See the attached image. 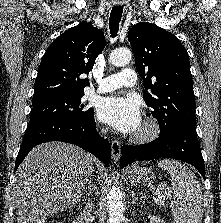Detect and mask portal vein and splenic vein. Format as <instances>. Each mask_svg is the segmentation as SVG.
<instances>
[{
  "instance_id": "obj_1",
  "label": "portal vein and splenic vein",
  "mask_w": 221,
  "mask_h": 223,
  "mask_svg": "<svg viewBox=\"0 0 221 223\" xmlns=\"http://www.w3.org/2000/svg\"><path fill=\"white\" fill-rule=\"evenodd\" d=\"M163 190L162 188H157L156 190H154L155 193H160V191ZM166 192V190H164Z\"/></svg>"
}]
</instances>
